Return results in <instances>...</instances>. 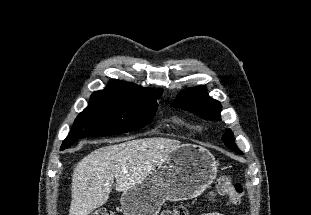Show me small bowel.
Listing matches in <instances>:
<instances>
[{"instance_id":"small-bowel-1","label":"small bowel","mask_w":311,"mask_h":215,"mask_svg":"<svg viewBox=\"0 0 311 215\" xmlns=\"http://www.w3.org/2000/svg\"><path fill=\"white\" fill-rule=\"evenodd\" d=\"M201 215H224V214H221V213H218V212H210V213H203Z\"/></svg>"}]
</instances>
